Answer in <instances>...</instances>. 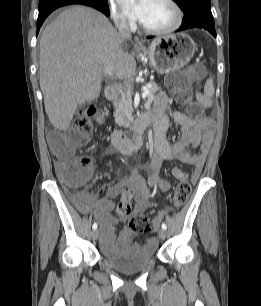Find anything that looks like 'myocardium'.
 Wrapping results in <instances>:
<instances>
[{
    "mask_svg": "<svg viewBox=\"0 0 261 306\" xmlns=\"http://www.w3.org/2000/svg\"><path fill=\"white\" fill-rule=\"evenodd\" d=\"M163 2H165L172 8L174 13L173 21L168 26L165 27H149L139 21L138 22L139 28L145 33L153 35H164L172 33L181 27L184 19V14L180 5L177 3L176 0H163Z\"/></svg>",
    "mask_w": 261,
    "mask_h": 306,
    "instance_id": "f54148a6",
    "label": "myocardium"
}]
</instances>
